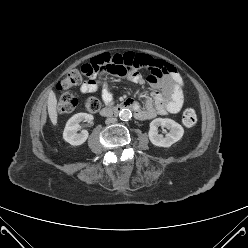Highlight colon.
Returning <instances> with one entry per match:
<instances>
[{"instance_id":"1","label":"colon","mask_w":248,"mask_h":248,"mask_svg":"<svg viewBox=\"0 0 248 248\" xmlns=\"http://www.w3.org/2000/svg\"><path fill=\"white\" fill-rule=\"evenodd\" d=\"M105 71L119 75L124 74L119 61L114 55H101L93 58L89 63L83 65L82 73L77 70L68 72L57 84L58 91L62 93L57 106L58 113L67 114L74 110L76 99L71 93L67 92V90L81 83L83 75L93 76L102 74ZM84 106L86 111L96 113L101 108V103L97 98L90 97L86 99ZM182 122L185 127L193 128L197 123L196 111L192 108L185 109L182 114Z\"/></svg>"}]
</instances>
